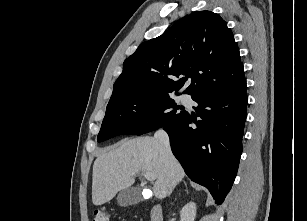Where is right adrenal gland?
Here are the masks:
<instances>
[{
	"mask_svg": "<svg viewBox=\"0 0 307 221\" xmlns=\"http://www.w3.org/2000/svg\"><path fill=\"white\" fill-rule=\"evenodd\" d=\"M185 186H186V183L184 182ZM186 192L188 193V190H187V186H186Z\"/></svg>",
	"mask_w": 307,
	"mask_h": 221,
	"instance_id": "right-adrenal-gland-1",
	"label": "right adrenal gland"
}]
</instances>
